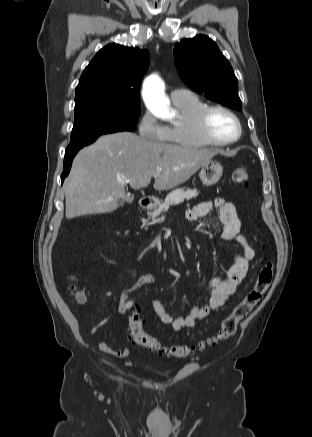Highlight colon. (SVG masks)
I'll return each mask as SVG.
<instances>
[{
  "label": "colon",
  "mask_w": 312,
  "mask_h": 437,
  "mask_svg": "<svg viewBox=\"0 0 312 437\" xmlns=\"http://www.w3.org/2000/svg\"><path fill=\"white\" fill-rule=\"evenodd\" d=\"M232 180L240 185L249 184V173L245 166L236 167L232 172ZM273 278V264L266 262L257 275V279L251 290L245 295L231 311V313L222 321L220 329L205 340H201L193 345H163L157 338L147 335L143 331V318L139 311H133L128 318L129 338L137 345L155 350L159 353H165L173 357H186L197 350H202L214 346L234 335L237 326L259 303L263 294L271 284ZM77 300L82 302L83 295L77 292Z\"/></svg>",
  "instance_id": "1"
}]
</instances>
